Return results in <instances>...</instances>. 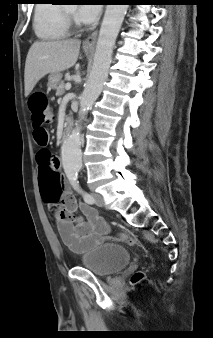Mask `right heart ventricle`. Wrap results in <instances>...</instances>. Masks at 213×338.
Wrapping results in <instances>:
<instances>
[{"instance_id": "right-heart-ventricle-1", "label": "right heart ventricle", "mask_w": 213, "mask_h": 338, "mask_svg": "<svg viewBox=\"0 0 213 338\" xmlns=\"http://www.w3.org/2000/svg\"><path fill=\"white\" fill-rule=\"evenodd\" d=\"M34 31L38 38L47 41L61 40L67 37L68 29L63 20V7L57 4H36Z\"/></svg>"}]
</instances>
